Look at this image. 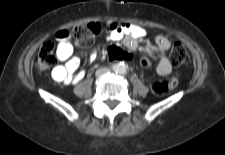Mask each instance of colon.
<instances>
[{
  "instance_id": "colon-1",
  "label": "colon",
  "mask_w": 225,
  "mask_h": 155,
  "mask_svg": "<svg viewBox=\"0 0 225 155\" xmlns=\"http://www.w3.org/2000/svg\"><path fill=\"white\" fill-rule=\"evenodd\" d=\"M102 27L99 23L91 22L84 25H79L71 29V38H73L76 44L80 47L90 46L96 36L100 34ZM107 30V28H106ZM152 51L150 46L139 51V64L142 68L149 70L153 67L154 62L150 58V52ZM107 54L111 59H124L125 61H132L134 59V52L132 50L122 51L116 44H109L107 46ZM171 60L174 65L178 66L188 61L189 55L187 50L180 42H175L171 48ZM57 61L55 44L53 41L48 40L42 44L39 49L37 57V68L39 71L44 72L50 69ZM178 84V76L175 75L170 79L156 80L151 89L156 95L169 94Z\"/></svg>"
}]
</instances>
